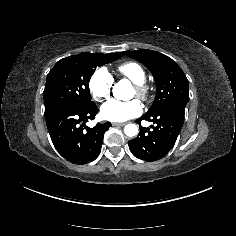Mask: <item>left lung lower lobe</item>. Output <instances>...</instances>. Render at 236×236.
I'll return each mask as SVG.
<instances>
[{"label":"left lung lower lobe","instance_id":"left-lung-lower-lobe-1","mask_svg":"<svg viewBox=\"0 0 236 236\" xmlns=\"http://www.w3.org/2000/svg\"><path fill=\"white\" fill-rule=\"evenodd\" d=\"M186 104L172 103L158 112L145 114L136 120L139 125L143 119L154 123L151 130L140 125L138 136L128 141L129 148L136 158L148 162L157 161L170 151L183 126Z\"/></svg>","mask_w":236,"mask_h":236}]
</instances>
